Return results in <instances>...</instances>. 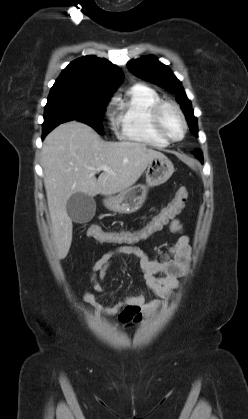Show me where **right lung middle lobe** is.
Masks as SVG:
<instances>
[{
  "instance_id": "dd1d6c3e",
  "label": "right lung middle lobe",
  "mask_w": 248,
  "mask_h": 419,
  "mask_svg": "<svg viewBox=\"0 0 248 419\" xmlns=\"http://www.w3.org/2000/svg\"><path fill=\"white\" fill-rule=\"evenodd\" d=\"M110 94L98 95L67 89H51L44 112L43 128L77 120L103 134L102 117Z\"/></svg>"
}]
</instances>
